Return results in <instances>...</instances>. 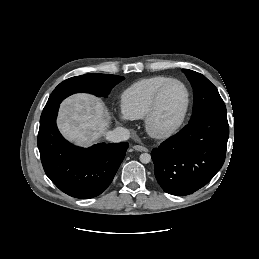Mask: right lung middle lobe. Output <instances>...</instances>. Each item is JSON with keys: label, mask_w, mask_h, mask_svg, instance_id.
<instances>
[{"label": "right lung middle lobe", "mask_w": 259, "mask_h": 259, "mask_svg": "<svg viewBox=\"0 0 259 259\" xmlns=\"http://www.w3.org/2000/svg\"><path fill=\"white\" fill-rule=\"evenodd\" d=\"M123 79L122 76L109 74H85L69 78L55 88L44 109L60 104L63 99L78 92L107 97L111 89Z\"/></svg>", "instance_id": "dd1d6c3e"}]
</instances>
